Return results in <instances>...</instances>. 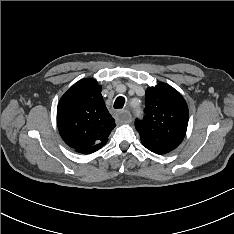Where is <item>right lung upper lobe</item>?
I'll use <instances>...</instances> for the list:
<instances>
[{
  "instance_id": "1",
  "label": "right lung upper lobe",
  "mask_w": 234,
  "mask_h": 234,
  "mask_svg": "<svg viewBox=\"0 0 234 234\" xmlns=\"http://www.w3.org/2000/svg\"><path fill=\"white\" fill-rule=\"evenodd\" d=\"M101 90L97 81L82 79L59 101L57 125L60 135L76 151L104 146L116 126L105 106Z\"/></svg>"
}]
</instances>
